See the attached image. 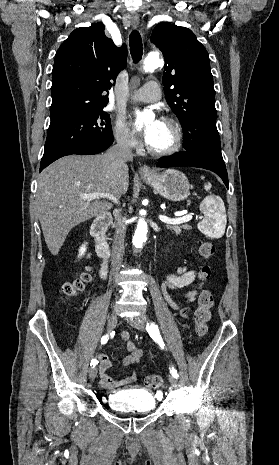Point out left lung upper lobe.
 <instances>
[{"instance_id":"left-lung-upper-lobe-1","label":"left lung upper lobe","mask_w":279,"mask_h":465,"mask_svg":"<svg viewBox=\"0 0 279 465\" xmlns=\"http://www.w3.org/2000/svg\"><path fill=\"white\" fill-rule=\"evenodd\" d=\"M151 40L165 58V97L182 124L185 150L225 164L216 128L213 76L205 47L190 29L167 22L154 28Z\"/></svg>"}]
</instances>
